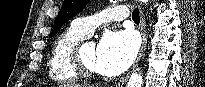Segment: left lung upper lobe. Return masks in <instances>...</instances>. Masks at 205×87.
Instances as JSON below:
<instances>
[{
    "instance_id": "left-lung-upper-lobe-1",
    "label": "left lung upper lobe",
    "mask_w": 205,
    "mask_h": 87,
    "mask_svg": "<svg viewBox=\"0 0 205 87\" xmlns=\"http://www.w3.org/2000/svg\"><path fill=\"white\" fill-rule=\"evenodd\" d=\"M89 0H64L57 15L50 37L55 34L63 24L83 10Z\"/></svg>"
}]
</instances>
